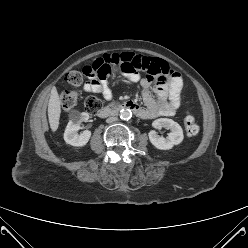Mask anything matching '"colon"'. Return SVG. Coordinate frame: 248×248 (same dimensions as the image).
I'll return each mask as SVG.
<instances>
[{
	"mask_svg": "<svg viewBox=\"0 0 248 248\" xmlns=\"http://www.w3.org/2000/svg\"><path fill=\"white\" fill-rule=\"evenodd\" d=\"M117 67V61L111 55L97 58L91 65L83 66L80 70H72L66 73L65 82L68 85H80L84 76L94 75L98 78L105 77ZM78 100L76 91H65L61 95V106L66 112L72 110ZM102 108L101 101L96 97H89L85 101V109L89 114H96ZM184 125L189 136H195L199 132V125L195 116L187 112L184 117Z\"/></svg>",
	"mask_w": 248,
	"mask_h": 248,
	"instance_id": "obj_1",
	"label": "colon"
}]
</instances>
